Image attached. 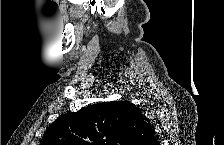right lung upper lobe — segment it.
<instances>
[{
  "instance_id": "1",
  "label": "right lung upper lobe",
  "mask_w": 224,
  "mask_h": 145,
  "mask_svg": "<svg viewBox=\"0 0 224 145\" xmlns=\"http://www.w3.org/2000/svg\"><path fill=\"white\" fill-rule=\"evenodd\" d=\"M142 112L128 101L93 104L57 118L40 145H158Z\"/></svg>"
}]
</instances>
